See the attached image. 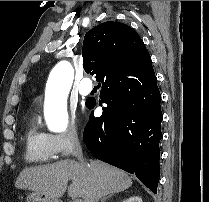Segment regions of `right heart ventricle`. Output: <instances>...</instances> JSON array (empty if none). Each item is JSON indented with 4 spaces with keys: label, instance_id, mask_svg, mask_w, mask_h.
Segmentation results:
<instances>
[{
    "label": "right heart ventricle",
    "instance_id": "obj_1",
    "mask_svg": "<svg viewBox=\"0 0 209 202\" xmlns=\"http://www.w3.org/2000/svg\"><path fill=\"white\" fill-rule=\"evenodd\" d=\"M56 157L48 135L32 120L25 132V159L31 163H45L53 161Z\"/></svg>",
    "mask_w": 209,
    "mask_h": 202
}]
</instances>
